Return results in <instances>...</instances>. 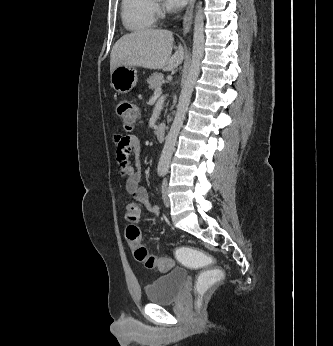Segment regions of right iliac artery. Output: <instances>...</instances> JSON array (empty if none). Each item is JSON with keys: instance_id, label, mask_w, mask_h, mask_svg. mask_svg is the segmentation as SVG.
<instances>
[{"instance_id": "82829eb1", "label": "right iliac artery", "mask_w": 333, "mask_h": 346, "mask_svg": "<svg viewBox=\"0 0 333 346\" xmlns=\"http://www.w3.org/2000/svg\"><path fill=\"white\" fill-rule=\"evenodd\" d=\"M164 173H165V170H164V169H159V170H158L159 176H163Z\"/></svg>"}]
</instances>
